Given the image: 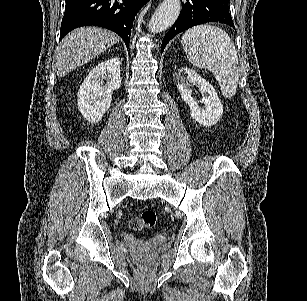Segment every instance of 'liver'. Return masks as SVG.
Segmentation results:
<instances>
[{
	"mask_svg": "<svg viewBox=\"0 0 307 301\" xmlns=\"http://www.w3.org/2000/svg\"><path fill=\"white\" fill-rule=\"evenodd\" d=\"M116 42H119L118 34L106 28L81 26L71 30L62 38L59 48L55 50L53 64L57 76H65L67 72L89 62Z\"/></svg>",
	"mask_w": 307,
	"mask_h": 301,
	"instance_id": "1",
	"label": "liver"
}]
</instances>
